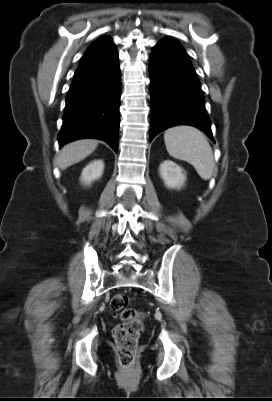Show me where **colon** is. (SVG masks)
<instances>
[{"label": "colon", "instance_id": "1", "mask_svg": "<svg viewBox=\"0 0 272 401\" xmlns=\"http://www.w3.org/2000/svg\"><path fill=\"white\" fill-rule=\"evenodd\" d=\"M127 304L128 298L124 294H116L110 301V308L118 313L123 321L113 331L118 358L123 367L129 368L135 361L138 340L143 328L144 313L128 308Z\"/></svg>", "mask_w": 272, "mask_h": 401}]
</instances>
